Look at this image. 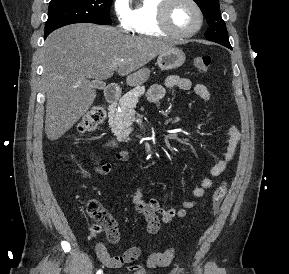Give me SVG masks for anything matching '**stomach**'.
<instances>
[{"mask_svg":"<svg viewBox=\"0 0 289 274\" xmlns=\"http://www.w3.org/2000/svg\"><path fill=\"white\" fill-rule=\"evenodd\" d=\"M185 58V53L181 49L173 47L158 56L157 64L162 70H171L183 65Z\"/></svg>","mask_w":289,"mask_h":274,"instance_id":"stomach-1","label":"stomach"}]
</instances>
